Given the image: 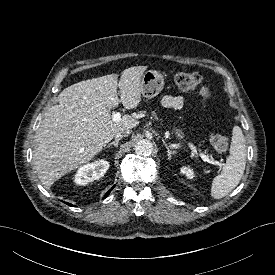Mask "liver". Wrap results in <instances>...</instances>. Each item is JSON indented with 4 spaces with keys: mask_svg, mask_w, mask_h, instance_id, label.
Wrapping results in <instances>:
<instances>
[{
    "mask_svg": "<svg viewBox=\"0 0 275 275\" xmlns=\"http://www.w3.org/2000/svg\"><path fill=\"white\" fill-rule=\"evenodd\" d=\"M146 68L134 66L123 70L119 82L117 74L81 81L59 94V104L45 112L35 134L33 163L45 188L92 160L116 133L139 124L130 115L114 122L111 110L120 103L126 109L139 105Z\"/></svg>",
    "mask_w": 275,
    "mask_h": 275,
    "instance_id": "liver-1",
    "label": "liver"
}]
</instances>
